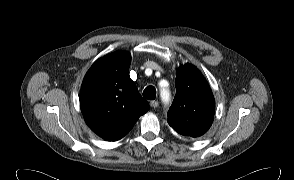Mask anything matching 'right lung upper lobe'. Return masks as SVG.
Wrapping results in <instances>:
<instances>
[{
	"label": "right lung upper lobe",
	"mask_w": 294,
	"mask_h": 180,
	"mask_svg": "<svg viewBox=\"0 0 294 180\" xmlns=\"http://www.w3.org/2000/svg\"><path fill=\"white\" fill-rule=\"evenodd\" d=\"M131 55L117 51L97 60L84 77L80 108L88 127L107 141L123 138L149 110L130 79Z\"/></svg>",
	"instance_id": "obj_1"
}]
</instances>
